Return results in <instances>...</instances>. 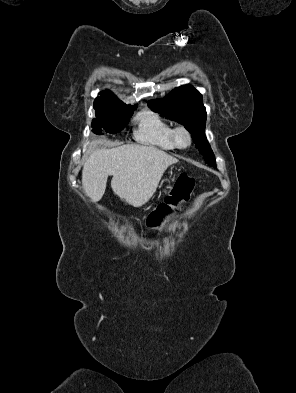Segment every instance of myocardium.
<instances>
[{
	"label": "myocardium",
	"mask_w": 296,
	"mask_h": 393,
	"mask_svg": "<svg viewBox=\"0 0 296 393\" xmlns=\"http://www.w3.org/2000/svg\"><path fill=\"white\" fill-rule=\"evenodd\" d=\"M184 134L187 138V142L185 144L180 143L179 135ZM172 140L174 145L179 149H186L192 144V134L189 129L183 125L176 126L172 131Z\"/></svg>",
	"instance_id": "myocardium-1"
}]
</instances>
